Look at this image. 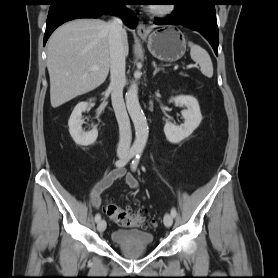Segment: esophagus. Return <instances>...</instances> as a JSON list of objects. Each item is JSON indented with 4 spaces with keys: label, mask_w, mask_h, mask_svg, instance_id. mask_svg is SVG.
I'll use <instances>...</instances> for the list:
<instances>
[{
    "label": "esophagus",
    "mask_w": 278,
    "mask_h": 278,
    "mask_svg": "<svg viewBox=\"0 0 278 278\" xmlns=\"http://www.w3.org/2000/svg\"><path fill=\"white\" fill-rule=\"evenodd\" d=\"M137 33L141 37H144L148 34V29L142 21H140L138 26H137Z\"/></svg>",
    "instance_id": "1"
}]
</instances>
